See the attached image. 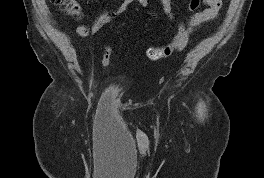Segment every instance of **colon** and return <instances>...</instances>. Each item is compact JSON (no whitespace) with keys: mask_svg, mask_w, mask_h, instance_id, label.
I'll list each match as a JSON object with an SVG mask.
<instances>
[{"mask_svg":"<svg viewBox=\"0 0 264 178\" xmlns=\"http://www.w3.org/2000/svg\"><path fill=\"white\" fill-rule=\"evenodd\" d=\"M56 6L64 8V10L71 14H79V5L75 0H50ZM204 0H190L188 11L194 13ZM192 30L189 25L180 24L178 31L172 40L163 47H150L146 50V55L150 60H160L169 57L174 51L181 50L186 47L189 42ZM112 59V50L106 47L102 53V62L108 65Z\"/></svg>","mask_w":264,"mask_h":178,"instance_id":"obj_1","label":"colon"}]
</instances>
